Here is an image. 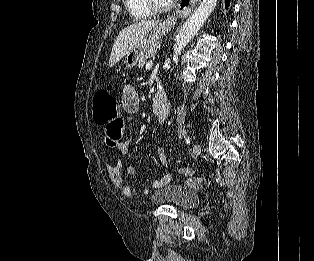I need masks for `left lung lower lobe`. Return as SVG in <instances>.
I'll return each mask as SVG.
<instances>
[{"label":"left lung lower lobe","instance_id":"1","mask_svg":"<svg viewBox=\"0 0 314 261\" xmlns=\"http://www.w3.org/2000/svg\"><path fill=\"white\" fill-rule=\"evenodd\" d=\"M225 8L228 9L230 6V0H224Z\"/></svg>","mask_w":314,"mask_h":261}]
</instances>
